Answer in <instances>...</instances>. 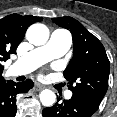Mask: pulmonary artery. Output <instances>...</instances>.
<instances>
[{
  "instance_id": "e3ab8cb5",
  "label": "pulmonary artery",
  "mask_w": 117,
  "mask_h": 117,
  "mask_svg": "<svg viewBox=\"0 0 117 117\" xmlns=\"http://www.w3.org/2000/svg\"><path fill=\"white\" fill-rule=\"evenodd\" d=\"M71 45V35L63 29H56L52 32L49 41L33 49L24 56L20 57L9 69L12 75H23L30 73L49 62L52 59L63 56ZM72 92L65 93L66 98H71Z\"/></svg>"
}]
</instances>
